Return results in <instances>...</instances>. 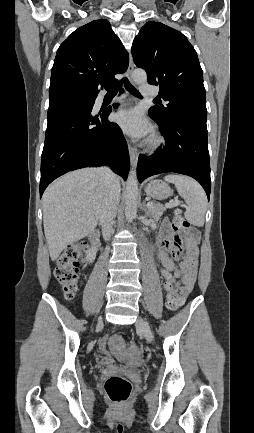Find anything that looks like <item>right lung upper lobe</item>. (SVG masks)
<instances>
[{"label":"right lung upper lobe","mask_w":254,"mask_h":433,"mask_svg":"<svg viewBox=\"0 0 254 433\" xmlns=\"http://www.w3.org/2000/svg\"><path fill=\"white\" fill-rule=\"evenodd\" d=\"M129 56L105 19L75 30L58 48L51 71L49 99L96 98L102 84H114Z\"/></svg>","instance_id":"right-lung-upper-lobe-1"}]
</instances>
